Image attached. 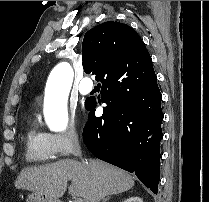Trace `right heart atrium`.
<instances>
[{
    "label": "right heart atrium",
    "instance_id": "right-heart-atrium-1",
    "mask_svg": "<svg viewBox=\"0 0 209 202\" xmlns=\"http://www.w3.org/2000/svg\"><path fill=\"white\" fill-rule=\"evenodd\" d=\"M48 144L57 156H68L78 149L80 139L77 128L71 123L67 129L61 133L46 134ZM72 175L82 173L83 168L73 161L65 162Z\"/></svg>",
    "mask_w": 209,
    "mask_h": 202
}]
</instances>
